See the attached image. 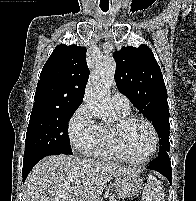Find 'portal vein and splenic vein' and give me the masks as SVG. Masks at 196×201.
<instances>
[{
    "label": "portal vein and splenic vein",
    "mask_w": 196,
    "mask_h": 201,
    "mask_svg": "<svg viewBox=\"0 0 196 201\" xmlns=\"http://www.w3.org/2000/svg\"><path fill=\"white\" fill-rule=\"evenodd\" d=\"M82 193L81 190H79L78 192L75 193L76 196H79Z\"/></svg>",
    "instance_id": "1"
}]
</instances>
